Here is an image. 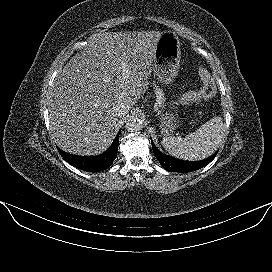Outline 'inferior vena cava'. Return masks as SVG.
Segmentation results:
<instances>
[{
    "instance_id": "inferior-vena-cava-1",
    "label": "inferior vena cava",
    "mask_w": 272,
    "mask_h": 272,
    "mask_svg": "<svg viewBox=\"0 0 272 272\" xmlns=\"http://www.w3.org/2000/svg\"><path fill=\"white\" fill-rule=\"evenodd\" d=\"M113 110L117 116H122V115L127 114L129 112L130 108H129V106L124 105L122 102H118L113 107Z\"/></svg>"
}]
</instances>
